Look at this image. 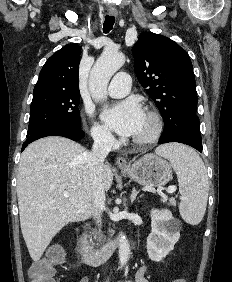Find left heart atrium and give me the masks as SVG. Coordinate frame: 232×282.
Listing matches in <instances>:
<instances>
[{"label":"left heart atrium","mask_w":232,"mask_h":282,"mask_svg":"<svg viewBox=\"0 0 232 282\" xmlns=\"http://www.w3.org/2000/svg\"><path fill=\"white\" fill-rule=\"evenodd\" d=\"M101 116L112 130L122 136L132 137L139 131L145 113L136 99L129 98L104 109Z\"/></svg>","instance_id":"left-heart-atrium-1"}]
</instances>
